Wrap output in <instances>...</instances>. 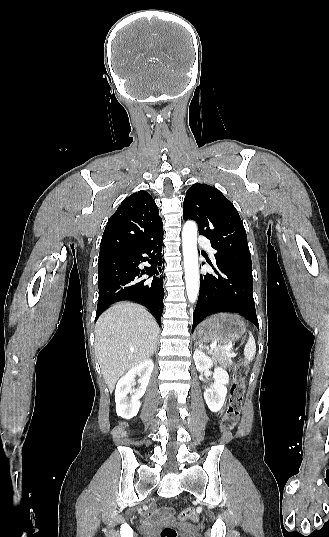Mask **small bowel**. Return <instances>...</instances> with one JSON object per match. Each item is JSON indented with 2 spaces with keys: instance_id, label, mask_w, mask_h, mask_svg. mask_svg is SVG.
Listing matches in <instances>:
<instances>
[{
  "instance_id": "obj_1",
  "label": "small bowel",
  "mask_w": 329,
  "mask_h": 537,
  "mask_svg": "<svg viewBox=\"0 0 329 537\" xmlns=\"http://www.w3.org/2000/svg\"><path fill=\"white\" fill-rule=\"evenodd\" d=\"M221 413H223V410L221 411ZM151 516L154 519L169 520L172 517V510L170 508H162V509H159V510L153 509L151 511Z\"/></svg>"
}]
</instances>
